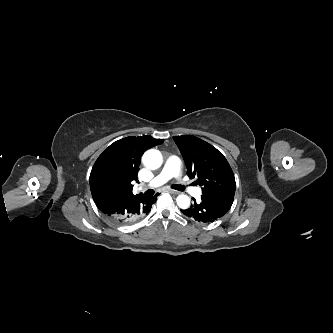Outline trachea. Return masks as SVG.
<instances>
[{
    "instance_id": "trachea-1",
    "label": "trachea",
    "mask_w": 333,
    "mask_h": 333,
    "mask_svg": "<svg viewBox=\"0 0 333 333\" xmlns=\"http://www.w3.org/2000/svg\"><path fill=\"white\" fill-rule=\"evenodd\" d=\"M172 189L178 190V191H184V187L181 185H172L171 186ZM146 195L151 196L154 194L153 190H148L145 192Z\"/></svg>"
}]
</instances>
